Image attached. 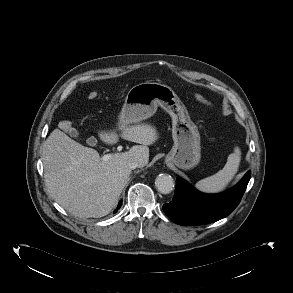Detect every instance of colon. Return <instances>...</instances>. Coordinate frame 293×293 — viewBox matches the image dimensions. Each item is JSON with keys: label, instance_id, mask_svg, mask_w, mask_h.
<instances>
[{"label": "colon", "instance_id": "colon-1", "mask_svg": "<svg viewBox=\"0 0 293 293\" xmlns=\"http://www.w3.org/2000/svg\"><path fill=\"white\" fill-rule=\"evenodd\" d=\"M98 97V93L97 92H95V91H92V92H90L89 94H88V98L90 99V100H94V99H96ZM195 99L198 101V102H200V103H202V104H204V105H210V102L204 97V96H202V95H200V94H196L195 95ZM71 126H72V124H71V122L70 121H62L61 123H60V128L62 129V130H69L70 128H71Z\"/></svg>", "mask_w": 293, "mask_h": 293}]
</instances>
